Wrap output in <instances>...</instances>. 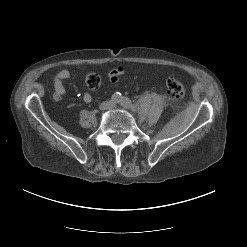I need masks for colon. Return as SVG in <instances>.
<instances>
[{
  "label": "colon",
  "instance_id": "obj_1",
  "mask_svg": "<svg viewBox=\"0 0 247 247\" xmlns=\"http://www.w3.org/2000/svg\"><path fill=\"white\" fill-rule=\"evenodd\" d=\"M86 85L94 90L101 84V77L97 73H90L86 76ZM166 93L175 100H182L185 96V87L178 75H171L166 81Z\"/></svg>",
  "mask_w": 247,
  "mask_h": 247
}]
</instances>
